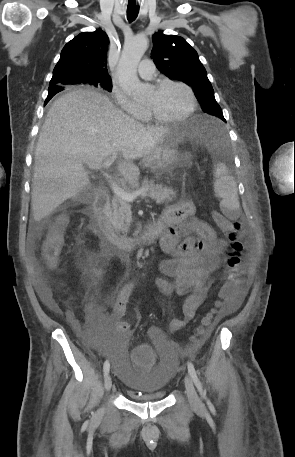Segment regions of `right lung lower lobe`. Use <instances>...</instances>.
Listing matches in <instances>:
<instances>
[{
	"label": "right lung lower lobe",
	"instance_id": "right-lung-lower-lobe-1",
	"mask_svg": "<svg viewBox=\"0 0 295 457\" xmlns=\"http://www.w3.org/2000/svg\"><path fill=\"white\" fill-rule=\"evenodd\" d=\"M61 90H63V88H60V87H49V90H48V96H47V99L45 101V104L48 103V101L58 92H60Z\"/></svg>",
	"mask_w": 295,
	"mask_h": 457
}]
</instances>
